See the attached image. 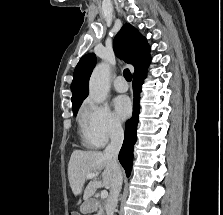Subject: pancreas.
I'll return each instance as SVG.
<instances>
[{"instance_id":"obj_1","label":"pancreas","mask_w":223,"mask_h":215,"mask_svg":"<svg viewBox=\"0 0 223 215\" xmlns=\"http://www.w3.org/2000/svg\"><path fill=\"white\" fill-rule=\"evenodd\" d=\"M98 207H100V205H98ZM102 207H100V211H101ZM96 215H99V213H96Z\"/></svg>"}]
</instances>
